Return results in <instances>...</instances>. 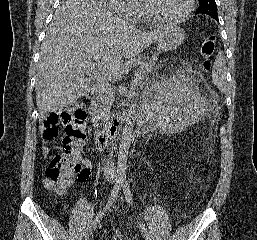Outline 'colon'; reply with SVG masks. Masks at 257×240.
<instances>
[{
	"label": "colon",
	"instance_id": "1",
	"mask_svg": "<svg viewBox=\"0 0 257 240\" xmlns=\"http://www.w3.org/2000/svg\"><path fill=\"white\" fill-rule=\"evenodd\" d=\"M215 49V36L208 35L202 39L198 53L205 71H210L212 67ZM86 117L85 107L82 104H75L60 113L49 114L44 122V135L49 140L57 137L59 125L65 128L64 151L51 159L45 171V183L59 193L66 191L75 177H82L86 173L80 162V154L86 138Z\"/></svg>",
	"mask_w": 257,
	"mask_h": 240
}]
</instances>
